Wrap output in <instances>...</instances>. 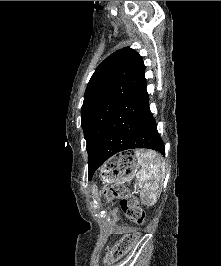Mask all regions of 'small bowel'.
<instances>
[{"label": "small bowel", "mask_w": 221, "mask_h": 266, "mask_svg": "<svg viewBox=\"0 0 221 266\" xmlns=\"http://www.w3.org/2000/svg\"><path fill=\"white\" fill-rule=\"evenodd\" d=\"M119 229L121 232L131 231V229L129 227H120Z\"/></svg>", "instance_id": "small-bowel-1"}]
</instances>
